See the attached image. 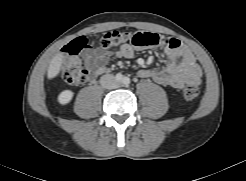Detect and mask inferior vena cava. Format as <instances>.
Instances as JSON below:
<instances>
[{
	"mask_svg": "<svg viewBox=\"0 0 246 181\" xmlns=\"http://www.w3.org/2000/svg\"><path fill=\"white\" fill-rule=\"evenodd\" d=\"M100 83L106 89H114L118 87V82L112 74L103 75L100 78Z\"/></svg>",
	"mask_w": 246,
	"mask_h": 181,
	"instance_id": "1",
	"label": "inferior vena cava"
}]
</instances>
